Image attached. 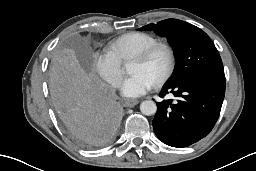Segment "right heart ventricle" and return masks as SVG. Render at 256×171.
<instances>
[{"label": "right heart ventricle", "mask_w": 256, "mask_h": 171, "mask_svg": "<svg viewBox=\"0 0 256 171\" xmlns=\"http://www.w3.org/2000/svg\"><path fill=\"white\" fill-rule=\"evenodd\" d=\"M157 42H159V40L149 33L134 31L113 40L109 43L107 49L121 62H127L133 59L139 52Z\"/></svg>", "instance_id": "1"}]
</instances>
